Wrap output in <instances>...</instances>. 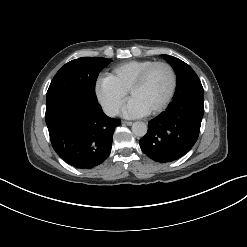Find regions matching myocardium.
Wrapping results in <instances>:
<instances>
[{
    "mask_svg": "<svg viewBox=\"0 0 247 247\" xmlns=\"http://www.w3.org/2000/svg\"><path fill=\"white\" fill-rule=\"evenodd\" d=\"M156 66H165L170 74H171V87L170 90L166 96V98L164 99V101L157 106L156 108H154L153 110L149 111L148 114H157L160 113L161 111H163L168 104L171 102L176 88H177V75H176V71L173 68V66L166 62V61H155L152 64H150L148 67H146L138 76L137 78L132 82V84L130 85L129 89H128V94L129 96H131L132 91H134L135 89L139 88L140 86L143 85V83L145 82L147 76L149 75V73L156 67Z\"/></svg>",
    "mask_w": 247,
    "mask_h": 247,
    "instance_id": "myocardium-1",
    "label": "myocardium"
}]
</instances>
